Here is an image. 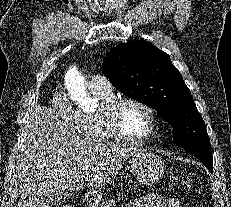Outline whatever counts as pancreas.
<instances>
[{"mask_svg": "<svg viewBox=\"0 0 231 207\" xmlns=\"http://www.w3.org/2000/svg\"><path fill=\"white\" fill-rule=\"evenodd\" d=\"M120 199H121L120 197L117 199L118 202L120 201ZM115 204H116V200L110 199V200H106V201L102 202L100 204V207H114Z\"/></svg>", "mask_w": 231, "mask_h": 207, "instance_id": "1", "label": "pancreas"}]
</instances>
